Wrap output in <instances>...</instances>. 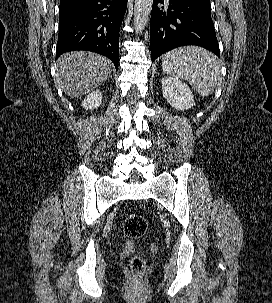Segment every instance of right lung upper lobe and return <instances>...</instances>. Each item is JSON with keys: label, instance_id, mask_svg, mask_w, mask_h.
Here are the masks:
<instances>
[{"label": "right lung upper lobe", "instance_id": "right-lung-upper-lobe-1", "mask_svg": "<svg viewBox=\"0 0 272 303\" xmlns=\"http://www.w3.org/2000/svg\"><path fill=\"white\" fill-rule=\"evenodd\" d=\"M86 0H60L59 10L69 8Z\"/></svg>", "mask_w": 272, "mask_h": 303}]
</instances>
